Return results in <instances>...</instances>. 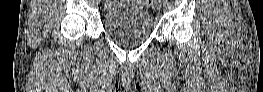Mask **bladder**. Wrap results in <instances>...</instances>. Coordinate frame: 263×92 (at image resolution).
<instances>
[{
	"label": "bladder",
	"instance_id": "bladder-1",
	"mask_svg": "<svg viewBox=\"0 0 263 92\" xmlns=\"http://www.w3.org/2000/svg\"><path fill=\"white\" fill-rule=\"evenodd\" d=\"M125 6L110 9L104 14V28L109 37L123 45H135L152 33L153 19L144 1H123Z\"/></svg>",
	"mask_w": 263,
	"mask_h": 92
}]
</instances>
